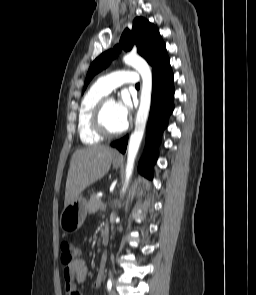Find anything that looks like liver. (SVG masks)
<instances>
[{"label": "liver", "mask_w": 256, "mask_h": 295, "mask_svg": "<svg viewBox=\"0 0 256 295\" xmlns=\"http://www.w3.org/2000/svg\"><path fill=\"white\" fill-rule=\"evenodd\" d=\"M117 151L104 145L79 149L72 155L68 170L64 206L73 202L88 186L109 171Z\"/></svg>", "instance_id": "6515ba94"}]
</instances>
